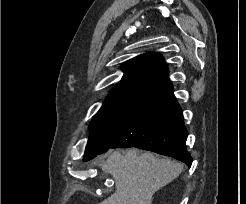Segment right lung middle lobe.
Returning <instances> with one entry per match:
<instances>
[{
    "mask_svg": "<svg viewBox=\"0 0 246 204\" xmlns=\"http://www.w3.org/2000/svg\"><path fill=\"white\" fill-rule=\"evenodd\" d=\"M134 100L106 101L90 124L85 158L106 152L114 142L122 121Z\"/></svg>",
    "mask_w": 246,
    "mask_h": 204,
    "instance_id": "right-lung-middle-lobe-1",
    "label": "right lung middle lobe"
}]
</instances>
